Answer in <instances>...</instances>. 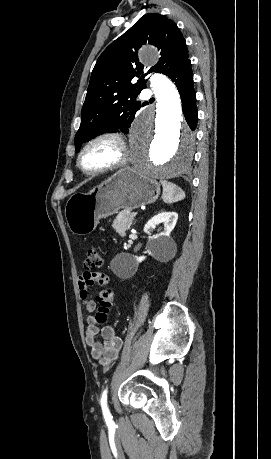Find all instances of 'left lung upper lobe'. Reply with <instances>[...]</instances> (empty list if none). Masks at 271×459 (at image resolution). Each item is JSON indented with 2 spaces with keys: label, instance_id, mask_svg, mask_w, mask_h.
Returning a JSON list of instances; mask_svg holds the SVG:
<instances>
[{
  "label": "left lung upper lobe",
  "instance_id": "left-lung-upper-lobe-1",
  "mask_svg": "<svg viewBox=\"0 0 271 459\" xmlns=\"http://www.w3.org/2000/svg\"><path fill=\"white\" fill-rule=\"evenodd\" d=\"M147 42L160 50L161 57L140 77L144 68L137 53ZM188 58L185 39L173 21L156 13L142 16L96 62L81 111L82 122L74 139L76 151L83 142L106 131L120 129L127 133L141 107L132 98L146 88L144 76L154 71L169 76ZM135 77L138 80L132 84Z\"/></svg>",
  "mask_w": 271,
  "mask_h": 459
}]
</instances>
